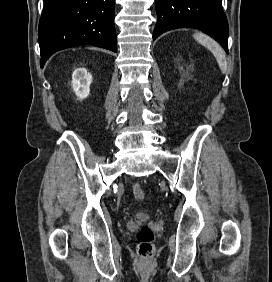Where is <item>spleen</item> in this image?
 <instances>
[{"label":"spleen","mask_w":272,"mask_h":282,"mask_svg":"<svg viewBox=\"0 0 272 282\" xmlns=\"http://www.w3.org/2000/svg\"><path fill=\"white\" fill-rule=\"evenodd\" d=\"M194 39L204 47H206L216 58L222 73L227 70V61L223 49L218 43L202 33H195Z\"/></svg>","instance_id":"3e777b00"}]
</instances>
